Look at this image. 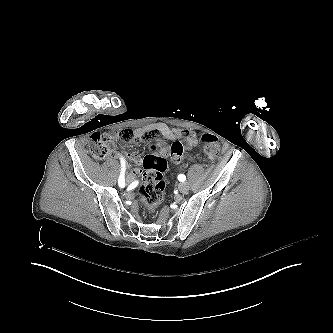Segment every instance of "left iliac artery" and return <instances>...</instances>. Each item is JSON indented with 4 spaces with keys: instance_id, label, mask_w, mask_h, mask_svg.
<instances>
[{
    "instance_id": "1",
    "label": "left iliac artery",
    "mask_w": 333,
    "mask_h": 333,
    "mask_svg": "<svg viewBox=\"0 0 333 333\" xmlns=\"http://www.w3.org/2000/svg\"><path fill=\"white\" fill-rule=\"evenodd\" d=\"M178 180L181 181V182H183V181L186 180V176L183 175V174H180V175H178Z\"/></svg>"
}]
</instances>
